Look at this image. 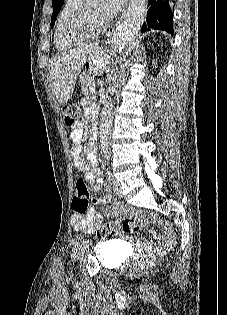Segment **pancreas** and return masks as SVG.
<instances>
[{"label":"pancreas","mask_w":227,"mask_h":315,"mask_svg":"<svg viewBox=\"0 0 227 315\" xmlns=\"http://www.w3.org/2000/svg\"><path fill=\"white\" fill-rule=\"evenodd\" d=\"M93 76L82 75L80 77V82L82 85V93L86 96L94 92V86L90 85V81L93 80Z\"/></svg>","instance_id":"1"}]
</instances>
